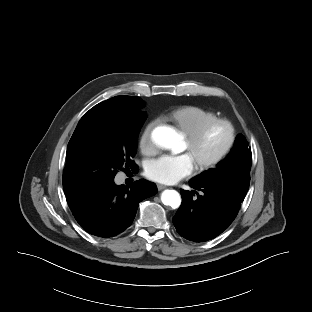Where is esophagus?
<instances>
[{
	"instance_id": "1",
	"label": "esophagus",
	"mask_w": 312,
	"mask_h": 312,
	"mask_svg": "<svg viewBox=\"0 0 312 312\" xmlns=\"http://www.w3.org/2000/svg\"><path fill=\"white\" fill-rule=\"evenodd\" d=\"M157 188L159 191H161L163 189H166L167 187L165 185H162V184H157Z\"/></svg>"
}]
</instances>
